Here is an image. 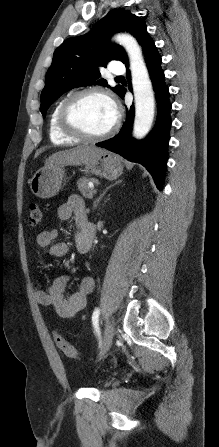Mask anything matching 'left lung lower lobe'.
<instances>
[{
    "label": "left lung lower lobe",
    "mask_w": 219,
    "mask_h": 447,
    "mask_svg": "<svg viewBox=\"0 0 219 447\" xmlns=\"http://www.w3.org/2000/svg\"><path fill=\"white\" fill-rule=\"evenodd\" d=\"M141 46L156 95L158 118L155 128L142 141L132 138L131 128L134 120V108L131 106L127 110L126 122L123 124L120 132L109 140L97 143L96 146L118 153L129 161L142 164L152 174L157 187L161 189L167 164L171 103L168 99L169 90L165 84L164 72L160 66L161 57L149 35L142 41ZM125 65L127 68V79L129 80V62H126ZM125 93L126 89L123 90L120 97H124Z\"/></svg>",
    "instance_id": "0a47b994"
}]
</instances>
